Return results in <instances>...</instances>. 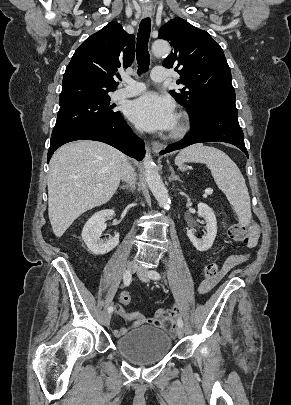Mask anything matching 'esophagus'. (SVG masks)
Returning <instances> with one entry per match:
<instances>
[{
    "instance_id": "esophagus-1",
    "label": "esophagus",
    "mask_w": 291,
    "mask_h": 405,
    "mask_svg": "<svg viewBox=\"0 0 291 405\" xmlns=\"http://www.w3.org/2000/svg\"><path fill=\"white\" fill-rule=\"evenodd\" d=\"M143 16H144V17H149V16H151V11H143ZM162 148H163V144H162V143H160V142H158V141H155V142L152 143V150H153V153H155V154L159 153V152L162 150Z\"/></svg>"
}]
</instances>
